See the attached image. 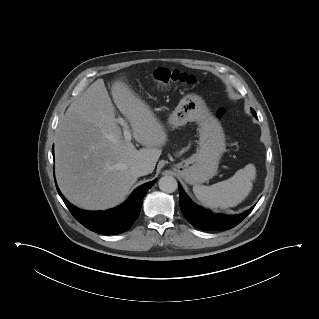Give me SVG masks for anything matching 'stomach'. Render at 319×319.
I'll return each instance as SVG.
<instances>
[{"mask_svg":"<svg viewBox=\"0 0 319 319\" xmlns=\"http://www.w3.org/2000/svg\"><path fill=\"white\" fill-rule=\"evenodd\" d=\"M193 121L199 125L197 152L177 163L174 170L186 183L198 185L217 174L226 143L224 130L219 120L212 115L201 96L191 93L180 100L170 115L168 123L172 128H176Z\"/></svg>","mask_w":319,"mask_h":319,"instance_id":"obj_1","label":"stomach"}]
</instances>
